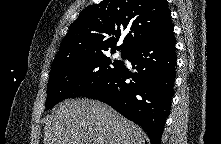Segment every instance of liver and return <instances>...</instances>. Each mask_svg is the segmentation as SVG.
Listing matches in <instances>:
<instances>
[{"instance_id":"obj_1","label":"liver","mask_w":221,"mask_h":144,"mask_svg":"<svg viewBox=\"0 0 221 144\" xmlns=\"http://www.w3.org/2000/svg\"><path fill=\"white\" fill-rule=\"evenodd\" d=\"M144 132L110 106L89 99L61 102L44 128V144H145Z\"/></svg>"}]
</instances>
